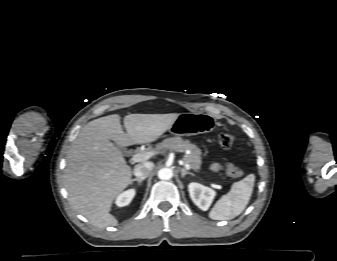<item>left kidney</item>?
<instances>
[{"label": "left kidney", "mask_w": 337, "mask_h": 261, "mask_svg": "<svg viewBox=\"0 0 337 261\" xmlns=\"http://www.w3.org/2000/svg\"><path fill=\"white\" fill-rule=\"evenodd\" d=\"M188 191L192 201L203 211L209 209L216 195L213 189L195 182L188 185Z\"/></svg>", "instance_id": "1"}]
</instances>
